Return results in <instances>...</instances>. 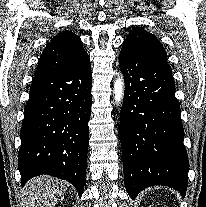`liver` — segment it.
Returning <instances> with one entry per match:
<instances>
[{"mask_svg":"<svg viewBox=\"0 0 206 207\" xmlns=\"http://www.w3.org/2000/svg\"><path fill=\"white\" fill-rule=\"evenodd\" d=\"M66 192L64 181L47 175L35 177L25 185L26 200L30 207H55Z\"/></svg>","mask_w":206,"mask_h":207,"instance_id":"liver-1","label":"liver"}]
</instances>
